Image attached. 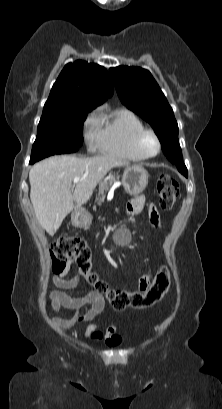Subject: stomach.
Segmentation results:
<instances>
[{
	"label": "stomach",
	"instance_id": "0dacf381",
	"mask_svg": "<svg viewBox=\"0 0 222 409\" xmlns=\"http://www.w3.org/2000/svg\"><path fill=\"white\" fill-rule=\"evenodd\" d=\"M122 184L129 195L136 196L146 188L148 173L142 166H127L122 175ZM71 221L77 228H86L92 224V216L86 210L81 209L72 213Z\"/></svg>",
	"mask_w": 222,
	"mask_h": 409
}]
</instances>
